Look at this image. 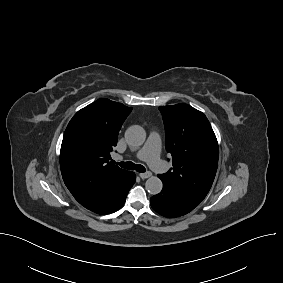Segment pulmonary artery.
<instances>
[{"label":"pulmonary artery","instance_id":"1","mask_svg":"<svg viewBox=\"0 0 283 283\" xmlns=\"http://www.w3.org/2000/svg\"><path fill=\"white\" fill-rule=\"evenodd\" d=\"M161 138L156 131H152L141 150L136 154V158L146 161L151 168L157 172L165 171V164L160 159Z\"/></svg>","mask_w":283,"mask_h":283}]
</instances>
